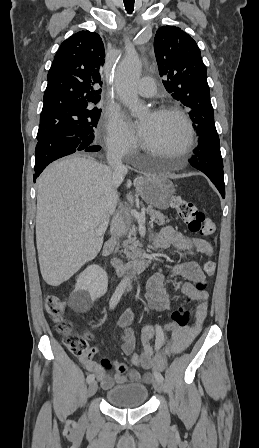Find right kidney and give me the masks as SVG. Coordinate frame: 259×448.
Returning a JSON list of instances; mask_svg holds the SVG:
<instances>
[{
    "label": "right kidney",
    "mask_w": 259,
    "mask_h": 448,
    "mask_svg": "<svg viewBox=\"0 0 259 448\" xmlns=\"http://www.w3.org/2000/svg\"><path fill=\"white\" fill-rule=\"evenodd\" d=\"M108 288V278L105 270L100 266H88L80 274L75 290L70 294L69 306L74 312L84 314L90 310L97 298L106 294Z\"/></svg>",
    "instance_id": "ca27d5eb"
}]
</instances>
